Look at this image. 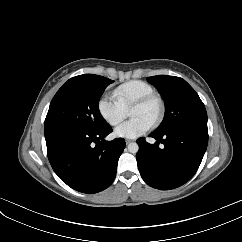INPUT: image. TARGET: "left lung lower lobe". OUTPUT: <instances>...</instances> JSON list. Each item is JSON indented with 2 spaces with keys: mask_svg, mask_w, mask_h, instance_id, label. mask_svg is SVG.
<instances>
[{
  "mask_svg": "<svg viewBox=\"0 0 242 242\" xmlns=\"http://www.w3.org/2000/svg\"><path fill=\"white\" fill-rule=\"evenodd\" d=\"M149 136L157 142L137 140V164L143 180L161 190L174 189L189 181L207 148V123H187L164 133L153 131ZM160 142L164 148L159 147Z\"/></svg>",
  "mask_w": 242,
  "mask_h": 242,
  "instance_id": "1",
  "label": "left lung lower lobe"
}]
</instances>
